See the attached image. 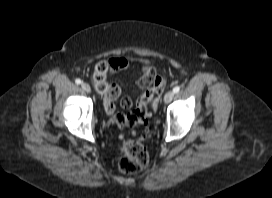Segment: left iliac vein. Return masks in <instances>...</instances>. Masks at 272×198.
Segmentation results:
<instances>
[{
  "instance_id": "1",
  "label": "left iliac vein",
  "mask_w": 272,
  "mask_h": 198,
  "mask_svg": "<svg viewBox=\"0 0 272 198\" xmlns=\"http://www.w3.org/2000/svg\"><path fill=\"white\" fill-rule=\"evenodd\" d=\"M173 97H174V92L173 91H168L164 96V102L166 104L170 103L171 100L173 99Z\"/></svg>"
}]
</instances>
